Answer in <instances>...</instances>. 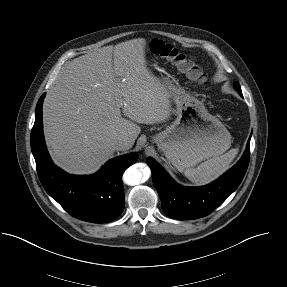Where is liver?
<instances>
[{"mask_svg": "<svg viewBox=\"0 0 287 287\" xmlns=\"http://www.w3.org/2000/svg\"><path fill=\"white\" fill-rule=\"evenodd\" d=\"M146 40L133 39L82 55L66 64L43 105L46 144L55 164L71 174H91L126 137L129 150L138 124L165 121L171 102L147 68ZM124 115L129 118H123Z\"/></svg>", "mask_w": 287, "mask_h": 287, "instance_id": "6515ba94", "label": "liver"}]
</instances>
